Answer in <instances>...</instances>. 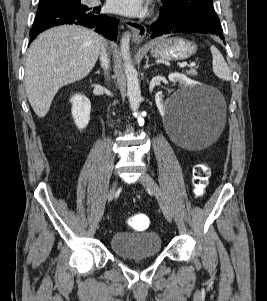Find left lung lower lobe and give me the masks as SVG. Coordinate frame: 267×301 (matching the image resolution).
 <instances>
[{
    "mask_svg": "<svg viewBox=\"0 0 267 301\" xmlns=\"http://www.w3.org/2000/svg\"><path fill=\"white\" fill-rule=\"evenodd\" d=\"M151 30V38L170 33H204L216 35L224 40L222 28L192 18L171 20L160 14L159 21L151 25Z\"/></svg>",
    "mask_w": 267,
    "mask_h": 301,
    "instance_id": "1",
    "label": "left lung lower lobe"
}]
</instances>
